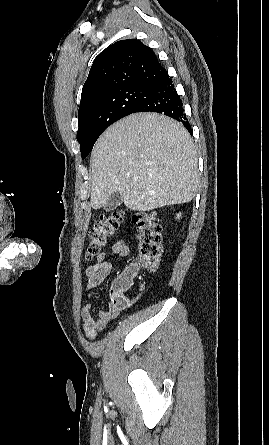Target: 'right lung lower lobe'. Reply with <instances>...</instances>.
I'll list each match as a JSON object with an SVG mask.
<instances>
[{"instance_id":"98d812e1","label":"right lung lower lobe","mask_w":269,"mask_h":445,"mask_svg":"<svg viewBox=\"0 0 269 445\" xmlns=\"http://www.w3.org/2000/svg\"><path fill=\"white\" fill-rule=\"evenodd\" d=\"M152 87V96L139 105L134 113L157 112L167 115L181 122L192 133L191 126L184 114L182 101L167 71Z\"/></svg>"}]
</instances>
